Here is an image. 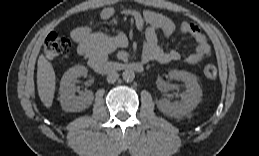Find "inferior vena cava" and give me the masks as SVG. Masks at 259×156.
Wrapping results in <instances>:
<instances>
[{
    "instance_id": "obj_1",
    "label": "inferior vena cava",
    "mask_w": 259,
    "mask_h": 156,
    "mask_svg": "<svg viewBox=\"0 0 259 156\" xmlns=\"http://www.w3.org/2000/svg\"><path fill=\"white\" fill-rule=\"evenodd\" d=\"M119 78V74L117 72H111L107 76L108 83H114Z\"/></svg>"
}]
</instances>
